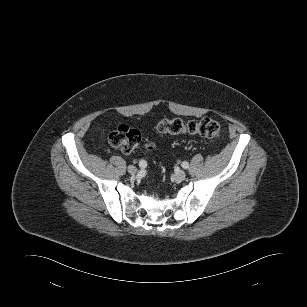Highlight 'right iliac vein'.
<instances>
[{
    "label": "right iliac vein",
    "mask_w": 307,
    "mask_h": 307,
    "mask_svg": "<svg viewBox=\"0 0 307 307\" xmlns=\"http://www.w3.org/2000/svg\"><path fill=\"white\" fill-rule=\"evenodd\" d=\"M128 172H129L131 175H134V174L137 173V168H136L135 166H133V165H130V166L128 167Z\"/></svg>",
    "instance_id": "right-iliac-vein-1"
}]
</instances>
